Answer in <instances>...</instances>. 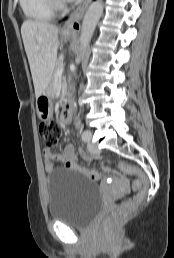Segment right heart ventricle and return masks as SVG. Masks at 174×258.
<instances>
[{
  "label": "right heart ventricle",
  "instance_id": "obj_1",
  "mask_svg": "<svg viewBox=\"0 0 174 258\" xmlns=\"http://www.w3.org/2000/svg\"><path fill=\"white\" fill-rule=\"evenodd\" d=\"M24 15L32 21H48L55 13L49 0H19Z\"/></svg>",
  "mask_w": 174,
  "mask_h": 258
}]
</instances>
